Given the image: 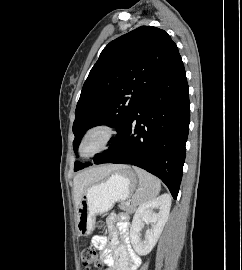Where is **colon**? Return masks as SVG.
<instances>
[{
    "instance_id": "1",
    "label": "colon",
    "mask_w": 242,
    "mask_h": 270,
    "mask_svg": "<svg viewBox=\"0 0 242 270\" xmlns=\"http://www.w3.org/2000/svg\"><path fill=\"white\" fill-rule=\"evenodd\" d=\"M98 226L99 228H102V223H99ZM80 254L82 264L86 267L87 270H90V268L92 267L98 266V255L93 247H83Z\"/></svg>"
}]
</instances>
